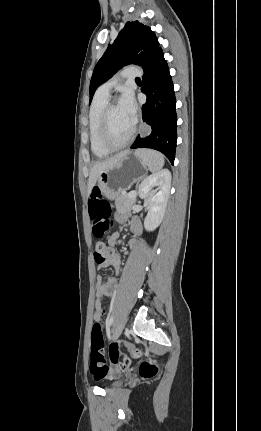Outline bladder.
I'll list each match as a JSON object with an SVG mask.
<instances>
[{
	"label": "bladder",
	"instance_id": "obj_1",
	"mask_svg": "<svg viewBox=\"0 0 261 431\" xmlns=\"http://www.w3.org/2000/svg\"><path fill=\"white\" fill-rule=\"evenodd\" d=\"M113 378H115V379L112 381L111 386H118L121 383V381H120V375H117V376H115Z\"/></svg>",
	"mask_w": 261,
	"mask_h": 431
}]
</instances>
